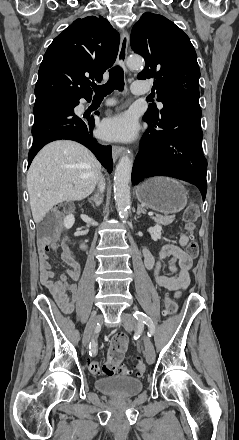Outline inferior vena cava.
<instances>
[{
	"label": "inferior vena cava",
	"mask_w": 239,
	"mask_h": 440,
	"mask_svg": "<svg viewBox=\"0 0 239 440\" xmlns=\"http://www.w3.org/2000/svg\"><path fill=\"white\" fill-rule=\"evenodd\" d=\"M97 186H98L100 192H103V190L105 188V180H104L103 176H100V178L97 182Z\"/></svg>",
	"instance_id": "602c4592"
}]
</instances>
